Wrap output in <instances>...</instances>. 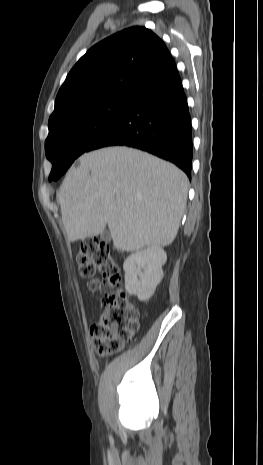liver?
Here are the masks:
<instances>
[{
    "label": "liver",
    "instance_id": "obj_1",
    "mask_svg": "<svg viewBox=\"0 0 263 465\" xmlns=\"http://www.w3.org/2000/svg\"><path fill=\"white\" fill-rule=\"evenodd\" d=\"M60 189L69 241L101 234L108 225L116 249L168 246L186 206L188 178L175 165L129 147L83 154Z\"/></svg>",
    "mask_w": 263,
    "mask_h": 465
}]
</instances>
